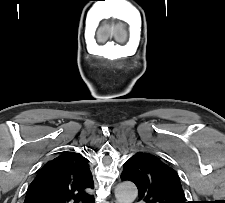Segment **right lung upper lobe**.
I'll list each match as a JSON object with an SVG mask.
<instances>
[{
    "label": "right lung upper lobe",
    "instance_id": "cb5924a9",
    "mask_svg": "<svg viewBox=\"0 0 225 203\" xmlns=\"http://www.w3.org/2000/svg\"><path fill=\"white\" fill-rule=\"evenodd\" d=\"M93 177L88 160L80 153L66 151L47 162L30 184L24 203H92Z\"/></svg>",
    "mask_w": 225,
    "mask_h": 203
}]
</instances>
